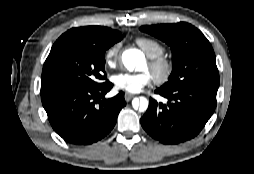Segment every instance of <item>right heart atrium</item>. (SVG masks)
<instances>
[{
  "instance_id": "right-heart-atrium-1",
  "label": "right heart atrium",
  "mask_w": 254,
  "mask_h": 174,
  "mask_svg": "<svg viewBox=\"0 0 254 174\" xmlns=\"http://www.w3.org/2000/svg\"><path fill=\"white\" fill-rule=\"evenodd\" d=\"M120 50V44L115 43L111 45L104 54V61L108 67H114L117 63L118 54Z\"/></svg>"
}]
</instances>
